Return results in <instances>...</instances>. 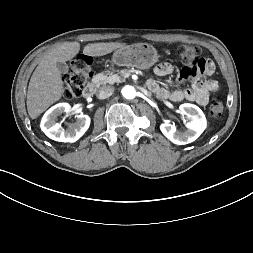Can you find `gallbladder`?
<instances>
[{"label":"gallbladder","mask_w":253,"mask_h":253,"mask_svg":"<svg viewBox=\"0 0 253 253\" xmlns=\"http://www.w3.org/2000/svg\"><path fill=\"white\" fill-rule=\"evenodd\" d=\"M56 65L58 70L63 74H66L69 70L68 65L65 62H57Z\"/></svg>","instance_id":"obj_1"}]
</instances>
